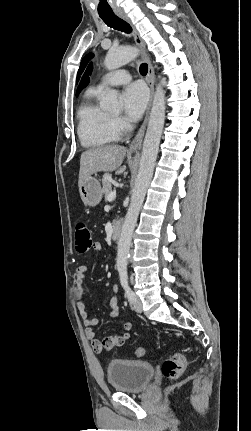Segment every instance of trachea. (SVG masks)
<instances>
[{"label": "trachea", "instance_id": "3493384b", "mask_svg": "<svg viewBox=\"0 0 251 431\" xmlns=\"http://www.w3.org/2000/svg\"><path fill=\"white\" fill-rule=\"evenodd\" d=\"M100 17L111 28L125 32L127 34L132 32V27L114 13L103 14L100 15ZM139 71L141 75H146L148 72V65L146 63H142L140 65Z\"/></svg>", "mask_w": 251, "mask_h": 431}]
</instances>
